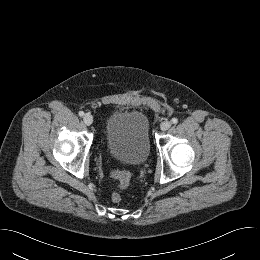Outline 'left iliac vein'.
<instances>
[{
	"instance_id": "4c4485c4",
	"label": "left iliac vein",
	"mask_w": 260,
	"mask_h": 260,
	"mask_svg": "<svg viewBox=\"0 0 260 260\" xmlns=\"http://www.w3.org/2000/svg\"><path fill=\"white\" fill-rule=\"evenodd\" d=\"M171 127V122L170 121H164L161 123L160 128L162 131H166Z\"/></svg>"
}]
</instances>
